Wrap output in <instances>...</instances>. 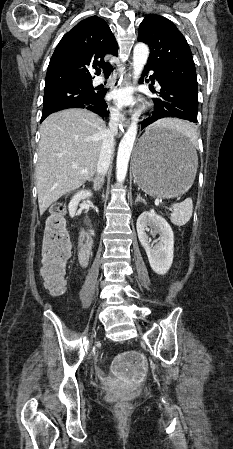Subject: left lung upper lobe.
<instances>
[{"instance_id": "obj_1", "label": "left lung upper lobe", "mask_w": 233, "mask_h": 449, "mask_svg": "<svg viewBox=\"0 0 233 449\" xmlns=\"http://www.w3.org/2000/svg\"><path fill=\"white\" fill-rule=\"evenodd\" d=\"M138 39L150 48L148 66L198 94L191 50L182 33L170 20L156 14L147 15L139 26Z\"/></svg>"}]
</instances>
